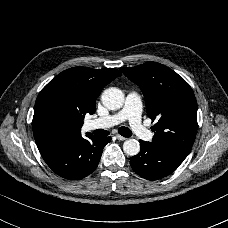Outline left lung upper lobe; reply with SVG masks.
Returning <instances> with one entry per match:
<instances>
[{
  "mask_svg": "<svg viewBox=\"0 0 228 228\" xmlns=\"http://www.w3.org/2000/svg\"><path fill=\"white\" fill-rule=\"evenodd\" d=\"M144 94L146 110L156 124L152 139L157 148L188 154L197 132V102L188 83L173 70L156 62L120 68Z\"/></svg>",
  "mask_w": 228,
  "mask_h": 228,
  "instance_id": "left-lung-upper-lobe-1",
  "label": "left lung upper lobe"
}]
</instances>
